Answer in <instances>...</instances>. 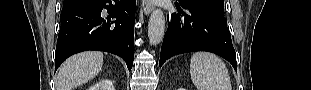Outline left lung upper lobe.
<instances>
[{"label": "left lung upper lobe", "instance_id": "5c2ea615", "mask_svg": "<svg viewBox=\"0 0 311 90\" xmlns=\"http://www.w3.org/2000/svg\"><path fill=\"white\" fill-rule=\"evenodd\" d=\"M181 5H192L205 8L224 15L223 0H178Z\"/></svg>", "mask_w": 311, "mask_h": 90}]
</instances>
